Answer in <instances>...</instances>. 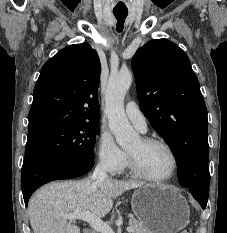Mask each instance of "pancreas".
<instances>
[{"label": "pancreas", "mask_w": 227, "mask_h": 233, "mask_svg": "<svg viewBox=\"0 0 227 233\" xmlns=\"http://www.w3.org/2000/svg\"><path fill=\"white\" fill-rule=\"evenodd\" d=\"M129 226L133 229L132 233H151L139 220L130 217Z\"/></svg>", "instance_id": "obj_1"}]
</instances>
